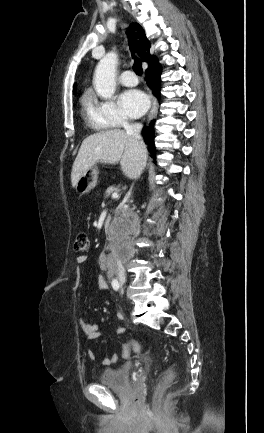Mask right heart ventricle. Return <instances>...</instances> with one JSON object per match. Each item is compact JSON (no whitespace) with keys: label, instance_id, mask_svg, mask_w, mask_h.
<instances>
[{"label":"right heart ventricle","instance_id":"e07e8e85","mask_svg":"<svg viewBox=\"0 0 264 433\" xmlns=\"http://www.w3.org/2000/svg\"><path fill=\"white\" fill-rule=\"evenodd\" d=\"M84 106L85 118L89 126L94 130H104L106 125H104L100 120L97 119L91 108V98L89 96H84L82 99Z\"/></svg>","mask_w":264,"mask_h":433}]
</instances>
